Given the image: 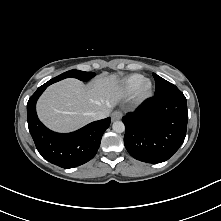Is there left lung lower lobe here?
I'll list each match as a JSON object with an SVG mask.
<instances>
[{"mask_svg":"<svg viewBox=\"0 0 221 221\" xmlns=\"http://www.w3.org/2000/svg\"><path fill=\"white\" fill-rule=\"evenodd\" d=\"M124 144L129 154L147 163H160L173 156L184 142L188 112L184 94L155 95L122 118Z\"/></svg>","mask_w":221,"mask_h":221,"instance_id":"left-lung-lower-lobe-1","label":"left lung lower lobe"}]
</instances>
